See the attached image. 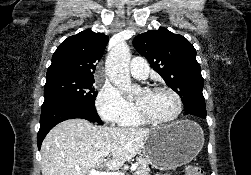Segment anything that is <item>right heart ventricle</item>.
Returning a JSON list of instances; mask_svg holds the SVG:
<instances>
[{
	"instance_id": "1",
	"label": "right heart ventricle",
	"mask_w": 251,
	"mask_h": 175,
	"mask_svg": "<svg viewBox=\"0 0 251 175\" xmlns=\"http://www.w3.org/2000/svg\"><path fill=\"white\" fill-rule=\"evenodd\" d=\"M140 118L135 115L134 117L130 118L128 121H126L125 123H123L122 125L124 126H134V125H138L140 123Z\"/></svg>"
}]
</instances>
